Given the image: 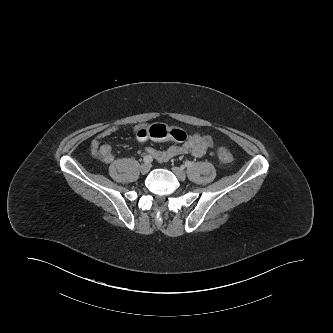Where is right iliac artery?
<instances>
[{"instance_id": "82829eb1", "label": "right iliac artery", "mask_w": 333, "mask_h": 333, "mask_svg": "<svg viewBox=\"0 0 333 333\" xmlns=\"http://www.w3.org/2000/svg\"><path fill=\"white\" fill-rule=\"evenodd\" d=\"M152 161H153V158H152L151 156L146 155V156L144 157V162H145V163H151Z\"/></svg>"}]
</instances>
